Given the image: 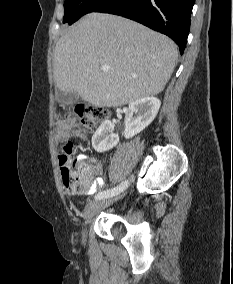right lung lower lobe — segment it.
<instances>
[{
	"label": "right lung lower lobe",
	"mask_w": 233,
	"mask_h": 284,
	"mask_svg": "<svg viewBox=\"0 0 233 284\" xmlns=\"http://www.w3.org/2000/svg\"><path fill=\"white\" fill-rule=\"evenodd\" d=\"M194 2L195 0H108L94 12L120 15L142 23L169 36L183 52Z\"/></svg>",
	"instance_id": "98d812e1"
}]
</instances>
